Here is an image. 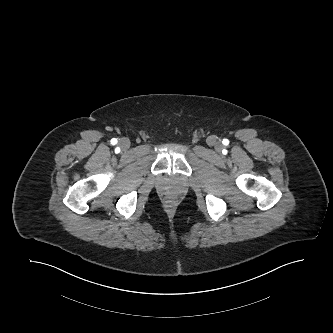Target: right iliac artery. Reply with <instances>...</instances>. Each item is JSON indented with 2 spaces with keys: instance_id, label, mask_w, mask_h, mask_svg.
Returning a JSON list of instances; mask_svg holds the SVG:
<instances>
[{
  "instance_id": "right-iliac-artery-1",
  "label": "right iliac artery",
  "mask_w": 333,
  "mask_h": 333,
  "mask_svg": "<svg viewBox=\"0 0 333 333\" xmlns=\"http://www.w3.org/2000/svg\"><path fill=\"white\" fill-rule=\"evenodd\" d=\"M111 143H112V144H116V143H117V139H115V138L112 139V140H111Z\"/></svg>"
}]
</instances>
